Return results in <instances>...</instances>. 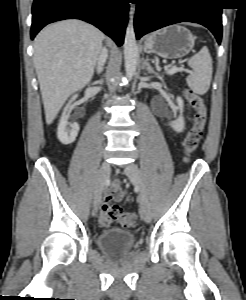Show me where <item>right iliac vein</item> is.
I'll return each mask as SVG.
<instances>
[{"label": "right iliac vein", "mask_w": 246, "mask_h": 300, "mask_svg": "<svg viewBox=\"0 0 246 300\" xmlns=\"http://www.w3.org/2000/svg\"><path fill=\"white\" fill-rule=\"evenodd\" d=\"M110 175V165L107 162H103L100 166L97 180H96V186H95V192H94V202H93V211L97 212L98 207L100 205V201L102 198L103 189L105 186V183Z\"/></svg>", "instance_id": "63e3f726"}]
</instances>
